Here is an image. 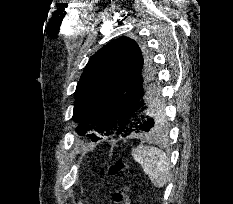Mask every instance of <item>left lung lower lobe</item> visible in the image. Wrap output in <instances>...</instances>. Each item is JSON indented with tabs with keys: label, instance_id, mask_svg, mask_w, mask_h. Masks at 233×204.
<instances>
[{
	"label": "left lung lower lobe",
	"instance_id": "left-lung-lower-lobe-1",
	"mask_svg": "<svg viewBox=\"0 0 233 204\" xmlns=\"http://www.w3.org/2000/svg\"><path fill=\"white\" fill-rule=\"evenodd\" d=\"M160 102L154 71L146 69L140 76L135 77L121 100L118 123L123 132L120 136L159 132L155 110Z\"/></svg>",
	"mask_w": 233,
	"mask_h": 204
}]
</instances>
